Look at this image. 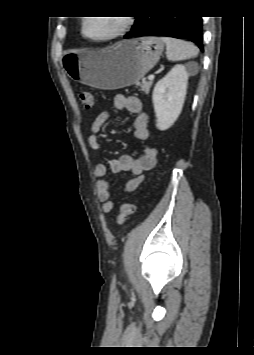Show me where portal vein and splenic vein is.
Listing matches in <instances>:
<instances>
[{
  "instance_id": "18ae733b",
  "label": "portal vein and splenic vein",
  "mask_w": 254,
  "mask_h": 355,
  "mask_svg": "<svg viewBox=\"0 0 254 355\" xmlns=\"http://www.w3.org/2000/svg\"><path fill=\"white\" fill-rule=\"evenodd\" d=\"M148 79H149V80L154 79V75H153V74L149 75V76H148Z\"/></svg>"
}]
</instances>
